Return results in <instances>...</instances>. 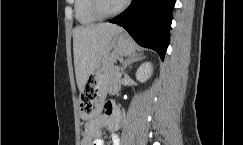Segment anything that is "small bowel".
I'll return each mask as SVG.
<instances>
[{
    "instance_id": "c3829d8e",
    "label": "small bowel",
    "mask_w": 243,
    "mask_h": 145,
    "mask_svg": "<svg viewBox=\"0 0 243 145\" xmlns=\"http://www.w3.org/2000/svg\"><path fill=\"white\" fill-rule=\"evenodd\" d=\"M121 112L113 103H107L105 110L100 115L92 118L85 124L81 145H105L102 130L107 129L112 133L111 144L120 145V139L115 134L121 126Z\"/></svg>"
}]
</instances>
